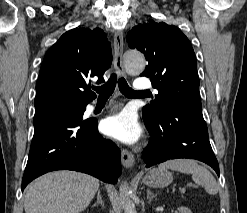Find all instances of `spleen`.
Wrapping results in <instances>:
<instances>
[{
	"label": "spleen",
	"mask_w": 247,
	"mask_h": 213,
	"mask_svg": "<svg viewBox=\"0 0 247 213\" xmlns=\"http://www.w3.org/2000/svg\"><path fill=\"white\" fill-rule=\"evenodd\" d=\"M159 169H171L184 174H192L193 181L204 186L207 193L215 195L218 193L219 186L213 175L194 160L176 159L166 161L158 166Z\"/></svg>",
	"instance_id": "obj_1"
}]
</instances>
